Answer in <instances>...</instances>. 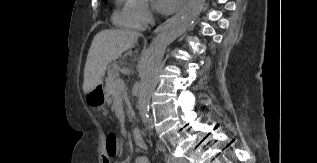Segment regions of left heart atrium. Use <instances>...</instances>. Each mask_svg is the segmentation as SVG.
Masks as SVG:
<instances>
[{
  "label": "left heart atrium",
  "mask_w": 317,
  "mask_h": 163,
  "mask_svg": "<svg viewBox=\"0 0 317 163\" xmlns=\"http://www.w3.org/2000/svg\"><path fill=\"white\" fill-rule=\"evenodd\" d=\"M183 0H155L156 9L162 14H170L176 10Z\"/></svg>",
  "instance_id": "39dd6f15"
}]
</instances>
